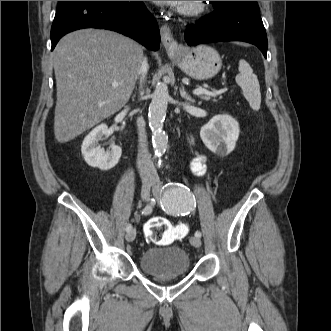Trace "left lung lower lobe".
<instances>
[{
    "label": "left lung lower lobe",
    "instance_id": "0a47b994",
    "mask_svg": "<svg viewBox=\"0 0 331 331\" xmlns=\"http://www.w3.org/2000/svg\"><path fill=\"white\" fill-rule=\"evenodd\" d=\"M196 25L188 26V45L219 41H244L256 45L266 58L267 36L256 1L227 2Z\"/></svg>",
    "mask_w": 331,
    "mask_h": 331
}]
</instances>
